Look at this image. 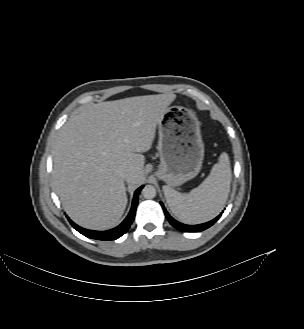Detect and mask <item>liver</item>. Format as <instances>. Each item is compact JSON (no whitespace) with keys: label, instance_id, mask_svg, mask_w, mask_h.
Wrapping results in <instances>:
<instances>
[{"label":"liver","instance_id":"obj_1","mask_svg":"<svg viewBox=\"0 0 304 329\" xmlns=\"http://www.w3.org/2000/svg\"><path fill=\"white\" fill-rule=\"evenodd\" d=\"M176 95L129 97L83 107L53 145V185L69 217L93 230L114 227L127 205L125 179L141 184L156 127Z\"/></svg>","mask_w":304,"mask_h":329}]
</instances>
